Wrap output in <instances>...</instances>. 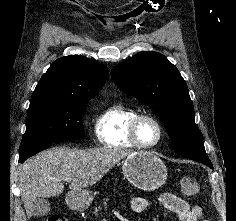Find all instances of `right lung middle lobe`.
Segmentation results:
<instances>
[{
    "label": "right lung middle lobe",
    "mask_w": 236,
    "mask_h": 221,
    "mask_svg": "<svg viewBox=\"0 0 236 221\" xmlns=\"http://www.w3.org/2000/svg\"><path fill=\"white\" fill-rule=\"evenodd\" d=\"M89 100L31 99L19 152L84 138L82 118Z\"/></svg>",
    "instance_id": "right-lung-middle-lobe-1"
}]
</instances>
